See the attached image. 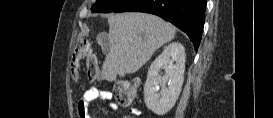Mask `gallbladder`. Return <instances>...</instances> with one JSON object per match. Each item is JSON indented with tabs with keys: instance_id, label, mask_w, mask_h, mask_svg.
<instances>
[{
	"instance_id": "bac80fb5",
	"label": "gallbladder",
	"mask_w": 273,
	"mask_h": 118,
	"mask_svg": "<svg viewBox=\"0 0 273 118\" xmlns=\"http://www.w3.org/2000/svg\"><path fill=\"white\" fill-rule=\"evenodd\" d=\"M102 49H103V52H104L105 54H108V53H109L110 46H109L108 42H106V43L103 45Z\"/></svg>"
}]
</instances>
